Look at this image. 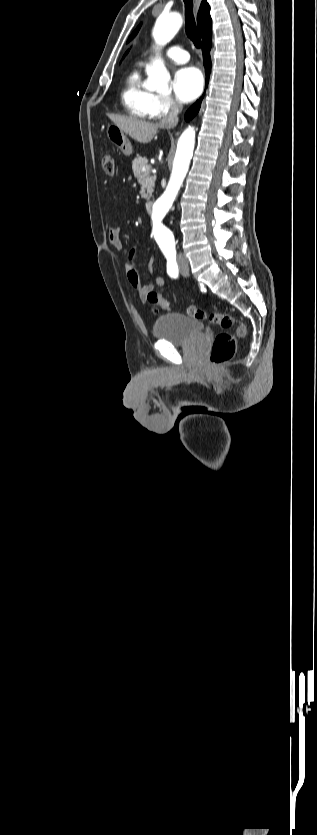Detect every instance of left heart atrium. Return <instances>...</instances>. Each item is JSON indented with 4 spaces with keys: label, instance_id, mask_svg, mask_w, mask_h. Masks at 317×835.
I'll list each match as a JSON object with an SVG mask.
<instances>
[{
    "label": "left heart atrium",
    "instance_id": "39dd6f15",
    "mask_svg": "<svg viewBox=\"0 0 317 835\" xmlns=\"http://www.w3.org/2000/svg\"><path fill=\"white\" fill-rule=\"evenodd\" d=\"M203 88V76L195 67H183L177 70L173 80V89L182 102H190L199 96Z\"/></svg>",
    "mask_w": 317,
    "mask_h": 835
}]
</instances>
